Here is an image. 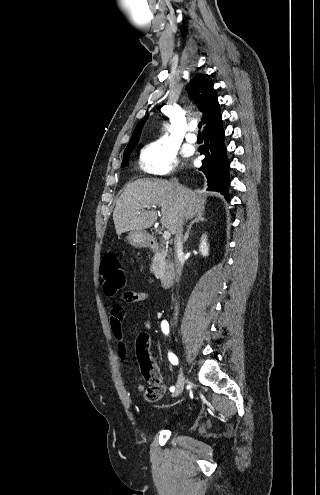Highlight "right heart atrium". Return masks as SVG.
<instances>
[{"mask_svg": "<svg viewBox=\"0 0 320 495\" xmlns=\"http://www.w3.org/2000/svg\"><path fill=\"white\" fill-rule=\"evenodd\" d=\"M139 164L147 173L167 176L178 166L177 149L166 139L151 141L142 149Z\"/></svg>", "mask_w": 320, "mask_h": 495, "instance_id": "right-heart-atrium-1", "label": "right heart atrium"}]
</instances>
